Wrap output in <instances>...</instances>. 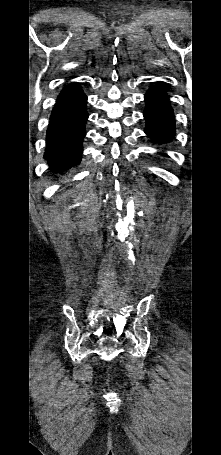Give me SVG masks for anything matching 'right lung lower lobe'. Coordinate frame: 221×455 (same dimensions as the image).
<instances>
[{
	"instance_id": "right-lung-lower-lobe-1",
	"label": "right lung lower lobe",
	"mask_w": 221,
	"mask_h": 455,
	"mask_svg": "<svg viewBox=\"0 0 221 455\" xmlns=\"http://www.w3.org/2000/svg\"><path fill=\"white\" fill-rule=\"evenodd\" d=\"M87 96L78 83L65 86L50 115L44 158L55 173L64 174L79 164L86 136Z\"/></svg>"
}]
</instances>
